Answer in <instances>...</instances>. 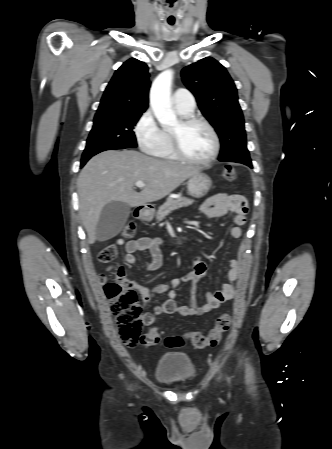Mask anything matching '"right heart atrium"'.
Masks as SVG:
<instances>
[{
  "instance_id": "right-heart-atrium-1",
  "label": "right heart atrium",
  "mask_w": 332,
  "mask_h": 449,
  "mask_svg": "<svg viewBox=\"0 0 332 449\" xmlns=\"http://www.w3.org/2000/svg\"><path fill=\"white\" fill-rule=\"evenodd\" d=\"M135 135L141 150L153 154L160 146L163 131L160 129L152 110H146L136 122Z\"/></svg>"
}]
</instances>
